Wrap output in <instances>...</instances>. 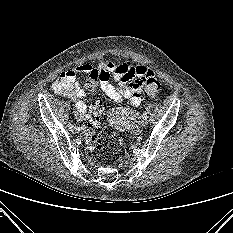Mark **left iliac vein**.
<instances>
[{"mask_svg": "<svg viewBox=\"0 0 233 233\" xmlns=\"http://www.w3.org/2000/svg\"><path fill=\"white\" fill-rule=\"evenodd\" d=\"M146 125H147V120L146 119H142L140 121V123H139L140 128H144V127H146Z\"/></svg>", "mask_w": 233, "mask_h": 233, "instance_id": "1", "label": "left iliac vein"}]
</instances>
